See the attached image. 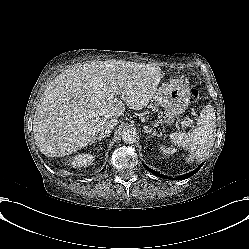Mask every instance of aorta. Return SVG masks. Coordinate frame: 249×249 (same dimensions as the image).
Returning <instances> with one entry per match:
<instances>
[{"mask_svg": "<svg viewBox=\"0 0 249 249\" xmlns=\"http://www.w3.org/2000/svg\"><path fill=\"white\" fill-rule=\"evenodd\" d=\"M122 140L126 144H133L137 141V133L132 129H127L122 133Z\"/></svg>", "mask_w": 249, "mask_h": 249, "instance_id": "aorta-1", "label": "aorta"}]
</instances>
